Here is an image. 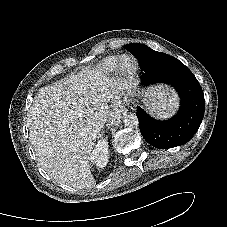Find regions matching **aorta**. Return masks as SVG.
Segmentation results:
<instances>
[{
  "label": "aorta",
  "mask_w": 227,
  "mask_h": 227,
  "mask_svg": "<svg viewBox=\"0 0 227 227\" xmlns=\"http://www.w3.org/2000/svg\"><path fill=\"white\" fill-rule=\"evenodd\" d=\"M111 119L113 122H122L126 127L133 128L138 125V118L134 113H126L122 115L118 111L111 113Z\"/></svg>",
  "instance_id": "762f6f07"
}]
</instances>
